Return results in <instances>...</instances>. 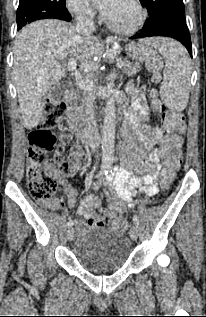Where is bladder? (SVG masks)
<instances>
[{
    "instance_id": "1",
    "label": "bladder",
    "mask_w": 206,
    "mask_h": 317,
    "mask_svg": "<svg viewBox=\"0 0 206 317\" xmlns=\"http://www.w3.org/2000/svg\"><path fill=\"white\" fill-rule=\"evenodd\" d=\"M132 253L129 238L112 230L87 231L77 238L73 254L89 271H114L121 268Z\"/></svg>"
}]
</instances>
